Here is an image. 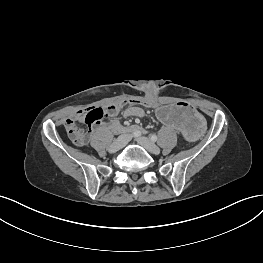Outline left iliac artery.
<instances>
[{
  "mask_svg": "<svg viewBox=\"0 0 263 263\" xmlns=\"http://www.w3.org/2000/svg\"><path fill=\"white\" fill-rule=\"evenodd\" d=\"M151 140L155 142V141L157 140V136H156L155 134H153V135L151 136Z\"/></svg>",
  "mask_w": 263,
  "mask_h": 263,
  "instance_id": "44dca946",
  "label": "left iliac artery"
}]
</instances>
